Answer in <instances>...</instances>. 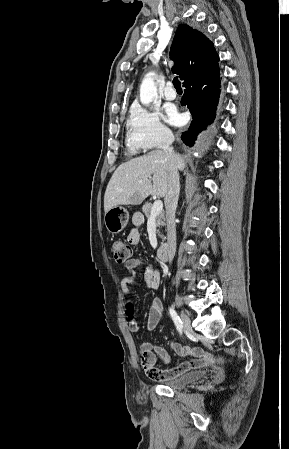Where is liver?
Masks as SVG:
<instances>
[{"label":"liver","mask_w":289,"mask_h":449,"mask_svg":"<svg viewBox=\"0 0 289 449\" xmlns=\"http://www.w3.org/2000/svg\"><path fill=\"white\" fill-rule=\"evenodd\" d=\"M174 160L177 169L183 171V157L174 153ZM169 172L170 159L163 150H154L121 164L113 173L105 191V213L119 205H139L149 195L165 197Z\"/></svg>","instance_id":"1"}]
</instances>
